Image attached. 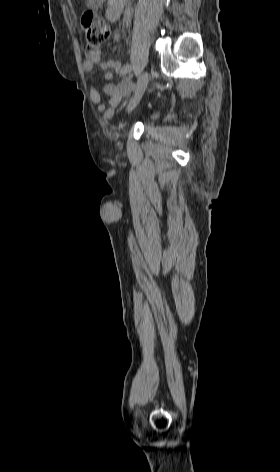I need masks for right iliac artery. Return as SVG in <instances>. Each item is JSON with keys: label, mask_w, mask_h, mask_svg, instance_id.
<instances>
[{"label": "right iliac artery", "mask_w": 280, "mask_h": 472, "mask_svg": "<svg viewBox=\"0 0 280 472\" xmlns=\"http://www.w3.org/2000/svg\"><path fill=\"white\" fill-rule=\"evenodd\" d=\"M116 39H118V37ZM131 71H132V67L130 65H125L123 66L121 70V75L122 76L130 75Z\"/></svg>", "instance_id": "right-iliac-artery-1"}]
</instances>
